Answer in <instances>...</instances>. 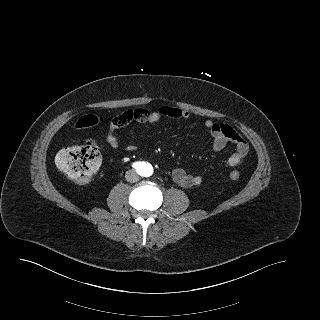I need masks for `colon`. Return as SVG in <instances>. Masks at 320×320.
I'll return each mask as SVG.
<instances>
[{
  "label": "colon",
  "instance_id": "obj_1",
  "mask_svg": "<svg viewBox=\"0 0 320 320\" xmlns=\"http://www.w3.org/2000/svg\"><path fill=\"white\" fill-rule=\"evenodd\" d=\"M98 118L92 115L85 116L77 123L78 128L86 129L95 126ZM101 163L99 146L94 140H88L84 144L65 148L56 157V165L74 183L80 186L91 182ZM231 180H238L240 174L232 171Z\"/></svg>",
  "mask_w": 320,
  "mask_h": 320
}]
</instances>
